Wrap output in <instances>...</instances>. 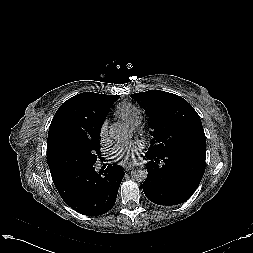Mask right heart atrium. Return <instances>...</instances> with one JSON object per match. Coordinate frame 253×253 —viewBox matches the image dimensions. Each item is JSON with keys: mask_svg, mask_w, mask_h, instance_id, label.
Segmentation results:
<instances>
[{"mask_svg": "<svg viewBox=\"0 0 253 253\" xmlns=\"http://www.w3.org/2000/svg\"><path fill=\"white\" fill-rule=\"evenodd\" d=\"M99 135L101 140L106 139L107 135H108V123L107 121H104L101 126H100V131H99Z\"/></svg>", "mask_w": 253, "mask_h": 253, "instance_id": "obj_1", "label": "right heart atrium"}]
</instances>
